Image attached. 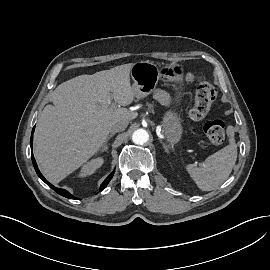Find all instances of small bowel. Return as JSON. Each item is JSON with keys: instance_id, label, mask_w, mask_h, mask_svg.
<instances>
[{"instance_id": "1", "label": "small bowel", "mask_w": 270, "mask_h": 270, "mask_svg": "<svg viewBox=\"0 0 270 270\" xmlns=\"http://www.w3.org/2000/svg\"><path fill=\"white\" fill-rule=\"evenodd\" d=\"M154 97L163 103H169L170 99L167 93L162 89H156L153 93Z\"/></svg>"}]
</instances>
